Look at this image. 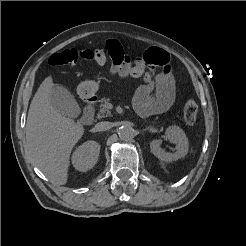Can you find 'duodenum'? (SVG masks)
<instances>
[{"label": "duodenum", "mask_w": 246, "mask_h": 246, "mask_svg": "<svg viewBox=\"0 0 246 246\" xmlns=\"http://www.w3.org/2000/svg\"><path fill=\"white\" fill-rule=\"evenodd\" d=\"M97 100L96 96H89L86 98V105L83 110L81 122L85 125H89L94 119V105Z\"/></svg>", "instance_id": "obj_1"}]
</instances>
